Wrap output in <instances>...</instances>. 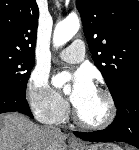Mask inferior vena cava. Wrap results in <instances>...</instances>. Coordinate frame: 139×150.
<instances>
[{"label":"inferior vena cava","instance_id":"602c4592","mask_svg":"<svg viewBox=\"0 0 139 150\" xmlns=\"http://www.w3.org/2000/svg\"><path fill=\"white\" fill-rule=\"evenodd\" d=\"M45 129L51 130V131H59V129L55 126H49V127H46Z\"/></svg>","mask_w":139,"mask_h":150}]
</instances>
